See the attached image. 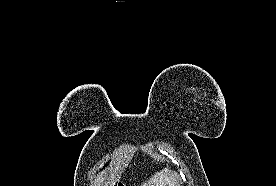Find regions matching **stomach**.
<instances>
[{
	"mask_svg": "<svg viewBox=\"0 0 276 186\" xmlns=\"http://www.w3.org/2000/svg\"><path fill=\"white\" fill-rule=\"evenodd\" d=\"M163 186H180L173 173H167L164 179Z\"/></svg>",
	"mask_w": 276,
	"mask_h": 186,
	"instance_id": "stomach-1",
	"label": "stomach"
}]
</instances>
